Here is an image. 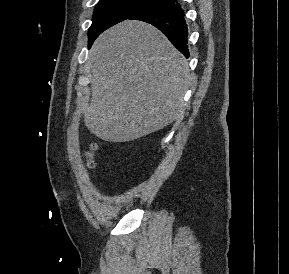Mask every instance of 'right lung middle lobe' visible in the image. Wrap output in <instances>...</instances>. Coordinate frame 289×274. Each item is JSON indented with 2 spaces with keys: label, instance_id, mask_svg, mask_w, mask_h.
Wrapping results in <instances>:
<instances>
[{
  "label": "right lung middle lobe",
  "instance_id": "obj_1",
  "mask_svg": "<svg viewBox=\"0 0 289 274\" xmlns=\"http://www.w3.org/2000/svg\"><path fill=\"white\" fill-rule=\"evenodd\" d=\"M162 2V0H100L95 7L88 30V47L109 27Z\"/></svg>",
  "mask_w": 289,
  "mask_h": 274
}]
</instances>
